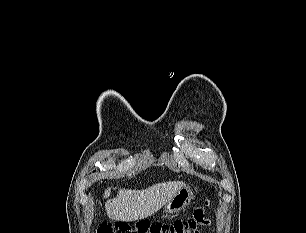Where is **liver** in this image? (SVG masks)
Instances as JSON below:
<instances>
[{
    "mask_svg": "<svg viewBox=\"0 0 306 233\" xmlns=\"http://www.w3.org/2000/svg\"><path fill=\"white\" fill-rule=\"evenodd\" d=\"M184 186L182 181H169L143 190L119 189L117 196L105 203V210L114 221L141 220L159 211Z\"/></svg>",
    "mask_w": 306,
    "mask_h": 233,
    "instance_id": "6515ba94",
    "label": "liver"
}]
</instances>
